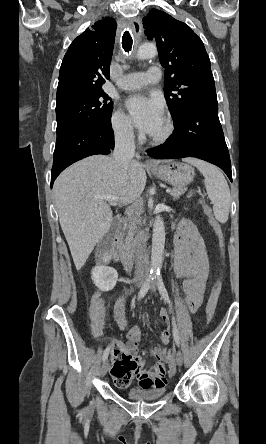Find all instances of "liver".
I'll return each mask as SVG.
<instances>
[{
    "instance_id": "liver-1",
    "label": "liver",
    "mask_w": 266,
    "mask_h": 444,
    "mask_svg": "<svg viewBox=\"0 0 266 444\" xmlns=\"http://www.w3.org/2000/svg\"><path fill=\"white\" fill-rule=\"evenodd\" d=\"M141 163L123 167L114 158L93 155L64 170L53 187L59 222L77 270L111 227L113 213L99 196H117L121 203L135 201L146 185Z\"/></svg>"
}]
</instances>
